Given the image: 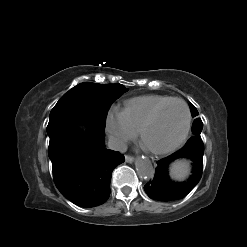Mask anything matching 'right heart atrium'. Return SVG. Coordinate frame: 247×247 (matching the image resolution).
Wrapping results in <instances>:
<instances>
[{
    "label": "right heart atrium",
    "instance_id": "1",
    "mask_svg": "<svg viewBox=\"0 0 247 247\" xmlns=\"http://www.w3.org/2000/svg\"><path fill=\"white\" fill-rule=\"evenodd\" d=\"M106 129L118 147L122 148L128 141L135 138L137 132L128 124L122 111L112 108L106 116Z\"/></svg>",
    "mask_w": 247,
    "mask_h": 247
}]
</instances>
